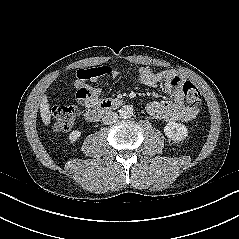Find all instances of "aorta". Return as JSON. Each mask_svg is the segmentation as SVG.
<instances>
[{
  "instance_id": "aorta-1",
  "label": "aorta",
  "mask_w": 239,
  "mask_h": 239,
  "mask_svg": "<svg viewBox=\"0 0 239 239\" xmlns=\"http://www.w3.org/2000/svg\"><path fill=\"white\" fill-rule=\"evenodd\" d=\"M119 114L122 118H130L133 116V108L130 105H124L120 108Z\"/></svg>"
}]
</instances>
